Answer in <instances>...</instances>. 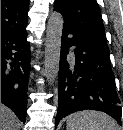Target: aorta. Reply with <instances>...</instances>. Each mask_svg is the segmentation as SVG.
Here are the masks:
<instances>
[{
  "mask_svg": "<svg viewBox=\"0 0 123 130\" xmlns=\"http://www.w3.org/2000/svg\"><path fill=\"white\" fill-rule=\"evenodd\" d=\"M63 23V16L53 12L47 24L44 75L49 85L55 82L59 72Z\"/></svg>",
  "mask_w": 123,
  "mask_h": 130,
  "instance_id": "762f6f07",
  "label": "aorta"
}]
</instances>
